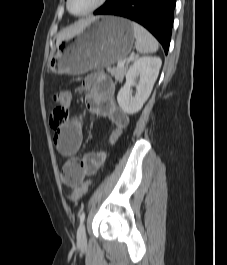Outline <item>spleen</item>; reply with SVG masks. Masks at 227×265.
Segmentation results:
<instances>
[{"instance_id": "spleen-1", "label": "spleen", "mask_w": 227, "mask_h": 265, "mask_svg": "<svg viewBox=\"0 0 227 265\" xmlns=\"http://www.w3.org/2000/svg\"><path fill=\"white\" fill-rule=\"evenodd\" d=\"M136 39V50L139 53H154L158 50L157 40L141 25L136 22L131 23Z\"/></svg>"}]
</instances>
